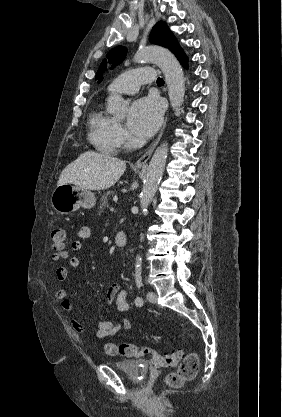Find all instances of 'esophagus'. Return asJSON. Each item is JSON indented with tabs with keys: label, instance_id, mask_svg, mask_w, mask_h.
I'll list each match as a JSON object with an SVG mask.
<instances>
[{
	"label": "esophagus",
	"instance_id": "obj_1",
	"mask_svg": "<svg viewBox=\"0 0 282 417\" xmlns=\"http://www.w3.org/2000/svg\"><path fill=\"white\" fill-rule=\"evenodd\" d=\"M166 123H167V116L164 119L162 128H161L160 133H159L157 139L155 140V142L151 145V147L147 150V152L144 153V155H142V157H140L139 160H137V162H136L137 167H143V166L146 165L147 160L151 157L152 152L154 151L156 145L158 144V142L160 141V139L163 135V132H164L165 127H166Z\"/></svg>",
	"mask_w": 282,
	"mask_h": 417
}]
</instances>
